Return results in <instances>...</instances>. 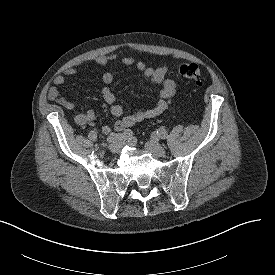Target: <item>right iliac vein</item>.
Listing matches in <instances>:
<instances>
[{"label":"right iliac vein","mask_w":275,"mask_h":275,"mask_svg":"<svg viewBox=\"0 0 275 275\" xmlns=\"http://www.w3.org/2000/svg\"><path fill=\"white\" fill-rule=\"evenodd\" d=\"M122 148V143H116V144H111L109 145V149L113 153H117L121 150Z\"/></svg>","instance_id":"1"}]
</instances>
